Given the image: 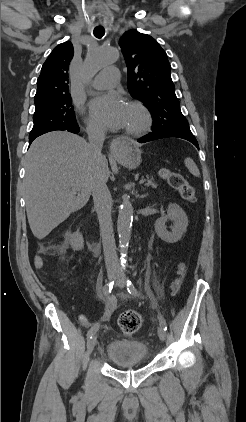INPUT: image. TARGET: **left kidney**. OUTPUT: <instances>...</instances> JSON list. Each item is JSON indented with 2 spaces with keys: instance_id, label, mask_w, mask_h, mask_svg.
Wrapping results in <instances>:
<instances>
[{
  "instance_id": "obj_1",
  "label": "left kidney",
  "mask_w": 246,
  "mask_h": 422,
  "mask_svg": "<svg viewBox=\"0 0 246 422\" xmlns=\"http://www.w3.org/2000/svg\"><path fill=\"white\" fill-rule=\"evenodd\" d=\"M167 220L173 221L171 232L166 230L165 223ZM188 227V217L183 209L177 204H169L167 209V216L160 217L155 222V231L163 241L167 243L178 242Z\"/></svg>"
}]
</instances>
